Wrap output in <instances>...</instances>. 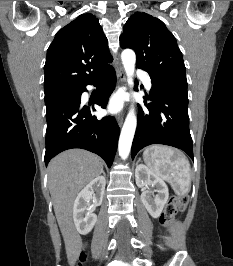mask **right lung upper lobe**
<instances>
[{
	"label": "right lung upper lobe",
	"mask_w": 233,
	"mask_h": 266,
	"mask_svg": "<svg viewBox=\"0 0 233 266\" xmlns=\"http://www.w3.org/2000/svg\"><path fill=\"white\" fill-rule=\"evenodd\" d=\"M112 60L98 19L82 14L59 30L48 48L44 91L80 89Z\"/></svg>",
	"instance_id": "right-lung-upper-lobe-1"
}]
</instances>
